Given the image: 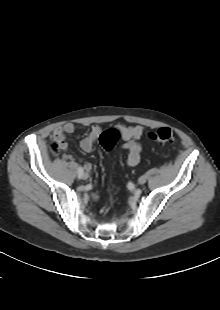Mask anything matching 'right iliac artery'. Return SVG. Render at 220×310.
<instances>
[{
	"instance_id": "82829eb1",
	"label": "right iliac artery",
	"mask_w": 220,
	"mask_h": 310,
	"mask_svg": "<svg viewBox=\"0 0 220 310\" xmlns=\"http://www.w3.org/2000/svg\"><path fill=\"white\" fill-rule=\"evenodd\" d=\"M83 173H84L83 168L80 166V167L78 168V178H79V179L82 177Z\"/></svg>"
}]
</instances>
